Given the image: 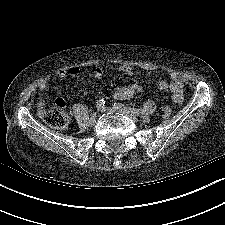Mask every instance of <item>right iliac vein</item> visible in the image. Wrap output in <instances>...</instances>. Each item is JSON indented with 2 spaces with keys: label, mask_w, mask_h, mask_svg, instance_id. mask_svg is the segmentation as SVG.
<instances>
[{
  "label": "right iliac vein",
  "mask_w": 225,
  "mask_h": 225,
  "mask_svg": "<svg viewBox=\"0 0 225 225\" xmlns=\"http://www.w3.org/2000/svg\"><path fill=\"white\" fill-rule=\"evenodd\" d=\"M96 119H97V114H96V113L92 114V116H91V118H90V120H89V124H90L91 126L95 125Z\"/></svg>",
  "instance_id": "1"
}]
</instances>
